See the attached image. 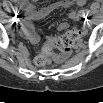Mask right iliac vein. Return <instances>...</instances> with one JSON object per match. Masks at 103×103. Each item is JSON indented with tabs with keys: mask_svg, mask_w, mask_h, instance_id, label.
I'll return each mask as SVG.
<instances>
[{
	"mask_svg": "<svg viewBox=\"0 0 103 103\" xmlns=\"http://www.w3.org/2000/svg\"><path fill=\"white\" fill-rule=\"evenodd\" d=\"M10 20H11V21H14V20H15V17H14V16H11V17H10Z\"/></svg>",
	"mask_w": 103,
	"mask_h": 103,
	"instance_id": "right-iliac-vein-1",
	"label": "right iliac vein"
}]
</instances>
